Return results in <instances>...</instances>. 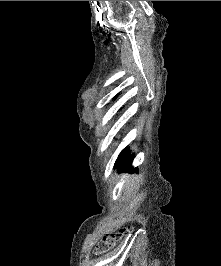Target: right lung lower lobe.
<instances>
[{
    "mask_svg": "<svg viewBox=\"0 0 221 266\" xmlns=\"http://www.w3.org/2000/svg\"><path fill=\"white\" fill-rule=\"evenodd\" d=\"M134 155L130 156L129 155V150L125 148L119 155L115 166L118 168L119 172L126 170V169H131V164L133 161Z\"/></svg>",
    "mask_w": 221,
    "mask_h": 266,
    "instance_id": "right-lung-lower-lobe-1",
    "label": "right lung lower lobe"
}]
</instances>
